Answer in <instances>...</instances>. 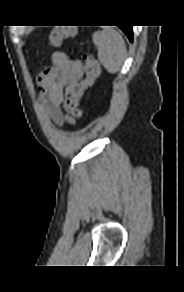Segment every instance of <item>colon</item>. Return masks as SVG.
Instances as JSON below:
<instances>
[{
    "label": "colon",
    "mask_w": 184,
    "mask_h": 292,
    "mask_svg": "<svg viewBox=\"0 0 184 292\" xmlns=\"http://www.w3.org/2000/svg\"><path fill=\"white\" fill-rule=\"evenodd\" d=\"M75 34L76 28L74 25L56 27L50 33V43L55 46L60 45L65 39ZM84 58L85 78L67 87L63 101L65 110L76 118L83 116V110L79 106L80 101L85 91L94 86L101 72L100 65L92 54H86Z\"/></svg>",
    "instance_id": "obj_1"
}]
</instances>
